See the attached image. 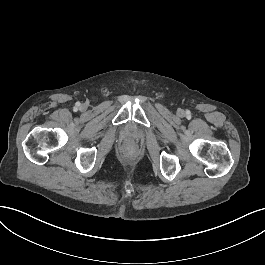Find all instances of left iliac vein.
<instances>
[{
  "mask_svg": "<svg viewBox=\"0 0 265 265\" xmlns=\"http://www.w3.org/2000/svg\"><path fill=\"white\" fill-rule=\"evenodd\" d=\"M184 114V111L182 110V109H180L179 111H178V115L179 116H182Z\"/></svg>",
  "mask_w": 265,
  "mask_h": 265,
  "instance_id": "1",
  "label": "left iliac vein"
}]
</instances>
